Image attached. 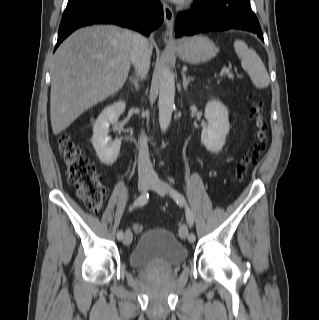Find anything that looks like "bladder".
<instances>
[{"mask_svg":"<svg viewBox=\"0 0 319 320\" xmlns=\"http://www.w3.org/2000/svg\"><path fill=\"white\" fill-rule=\"evenodd\" d=\"M188 251L167 229L144 231L129 254V264L136 268L151 265L177 266L183 263Z\"/></svg>","mask_w":319,"mask_h":320,"instance_id":"bladder-1","label":"bladder"}]
</instances>
